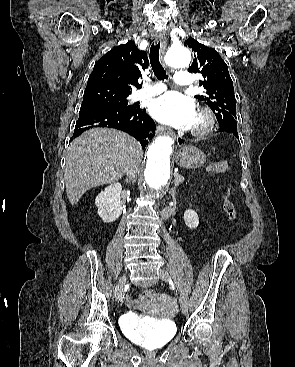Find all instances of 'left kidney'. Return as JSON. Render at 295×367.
Masks as SVG:
<instances>
[{"mask_svg": "<svg viewBox=\"0 0 295 367\" xmlns=\"http://www.w3.org/2000/svg\"><path fill=\"white\" fill-rule=\"evenodd\" d=\"M184 221L187 227H189L190 229H195L198 227L199 225V218L197 213L192 210V209H188L184 212Z\"/></svg>", "mask_w": 295, "mask_h": 367, "instance_id": "left-kidney-1", "label": "left kidney"}]
</instances>
